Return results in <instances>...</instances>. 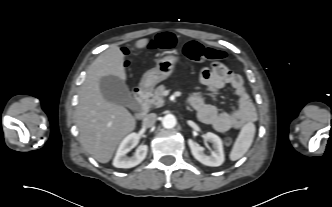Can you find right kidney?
Instances as JSON below:
<instances>
[{
    "instance_id": "1",
    "label": "right kidney",
    "mask_w": 332,
    "mask_h": 207,
    "mask_svg": "<svg viewBox=\"0 0 332 207\" xmlns=\"http://www.w3.org/2000/svg\"><path fill=\"white\" fill-rule=\"evenodd\" d=\"M139 141L137 133H131L126 136L120 143L116 155L113 160V166L116 168H132L140 164L146 157L148 146L141 145L132 157H128L127 153Z\"/></svg>"
}]
</instances>
